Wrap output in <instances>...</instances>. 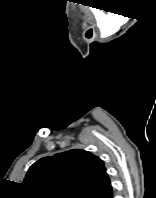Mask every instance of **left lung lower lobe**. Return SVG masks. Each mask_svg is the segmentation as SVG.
<instances>
[{
	"label": "left lung lower lobe",
	"mask_w": 156,
	"mask_h": 198,
	"mask_svg": "<svg viewBox=\"0 0 156 198\" xmlns=\"http://www.w3.org/2000/svg\"><path fill=\"white\" fill-rule=\"evenodd\" d=\"M93 198H113V189L109 184L105 189L96 194Z\"/></svg>",
	"instance_id": "0a47b994"
}]
</instances>
